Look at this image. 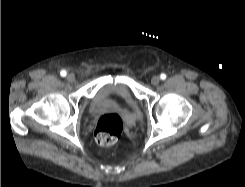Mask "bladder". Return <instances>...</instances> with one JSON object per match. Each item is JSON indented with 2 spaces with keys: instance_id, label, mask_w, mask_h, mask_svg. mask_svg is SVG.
Wrapping results in <instances>:
<instances>
[{
  "instance_id": "bladder-1",
  "label": "bladder",
  "mask_w": 245,
  "mask_h": 187,
  "mask_svg": "<svg viewBox=\"0 0 245 187\" xmlns=\"http://www.w3.org/2000/svg\"><path fill=\"white\" fill-rule=\"evenodd\" d=\"M117 98H121L123 103L118 102ZM90 106L95 112L121 111L127 116L134 114L137 108L131 91L123 82L101 86L92 96Z\"/></svg>"
}]
</instances>
